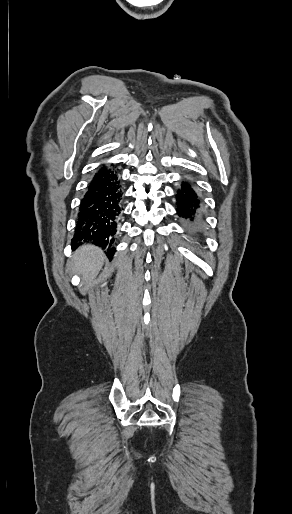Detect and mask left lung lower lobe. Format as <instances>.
Listing matches in <instances>:
<instances>
[{
	"label": "left lung lower lobe",
	"mask_w": 292,
	"mask_h": 514,
	"mask_svg": "<svg viewBox=\"0 0 292 514\" xmlns=\"http://www.w3.org/2000/svg\"><path fill=\"white\" fill-rule=\"evenodd\" d=\"M175 198L177 214L190 231H197L203 221V211L202 201L194 189V185L187 180L181 181Z\"/></svg>",
	"instance_id": "left-lung-lower-lobe-1"
}]
</instances>
